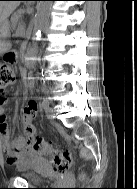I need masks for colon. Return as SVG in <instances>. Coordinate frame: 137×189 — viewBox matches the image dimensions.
<instances>
[{
    "label": "colon",
    "mask_w": 137,
    "mask_h": 189,
    "mask_svg": "<svg viewBox=\"0 0 137 189\" xmlns=\"http://www.w3.org/2000/svg\"><path fill=\"white\" fill-rule=\"evenodd\" d=\"M5 57V61L0 63V95L3 94V88L10 84L15 78V71L12 67L14 54L9 52ZM37 108V103L32 100L28 103L26 111L27 113H35ZM29 146L36 154L49 157L56 168L61 172L67 171L72 165V156L68 150L56 148L42 138H32Z\"/></svg>",
    "instance_id": "5ec220e1"
}]
</instances>
